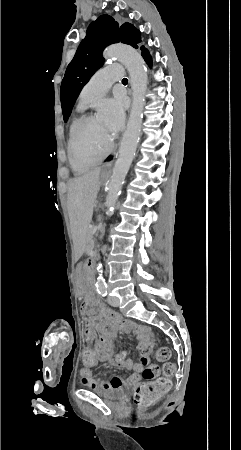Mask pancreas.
Segmentation results:
<instances>
[{"mask_svg": "<svg viewBox=\"0 0 241 450\" xmlns=\"http://www.w3.org/2000/svg\"><path fill=\"white\" fill-rule=\"evenodd\" d=\"M91 228H92V227H91ZM91 228H90V231H91V232H88V233H87V236H88V237H87V239H86L87 242H89V245L87 246V249H88V250H93V249H94V246H93V245H94V242L92 241V240H93L92 237L94 236V234H92V229H91ZM95 232H96V231H95Z\"/></svg>", "mask_w": 241, "mask_h": 450, "instance_id": "obj_1", "label": "pancreas"}]
</instances>
